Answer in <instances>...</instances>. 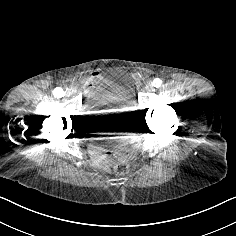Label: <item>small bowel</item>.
Instances as JSON below:
<instances>
[{"mask_svg":"<svg viewBox=\"0 0 236 236\" xmlns=\"http://www.w3.org/2000/svg\"><path fill=\"white\" fill-rule=\"evenodd\" d=\"M103 78V75L99 71L92 72L87 78L84 79L83 83L87 89H92L95 83L100 81ZM93 152L96 157L100 159L102 163H105V158L101 155L99 147L93 146Z\"/></svg>","mask_w":236,"mask_h":236,"instance_id":"1","label":"small bowel"}]
</instances>
